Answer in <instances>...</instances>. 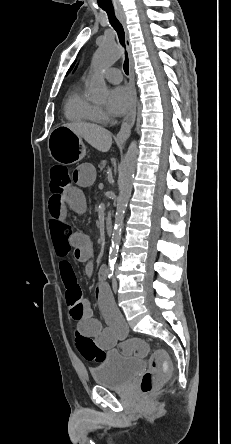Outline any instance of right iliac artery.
Returning <instances> with one entry per match:
<instances>
[{
	"instance_id": "right-iliac-artery-1",
	"label": "right iliac artery",
	"mask_w": 231,
	"mask_h": 444,
	"mask_svg": "<svg viewBox=\"0 0 231 444\" xmlns=\"http://www.w3.org/2000/svg\"><path fill=\"white\" fill-rule=\"evenodd\" d=\"M113 271H114L113 267L108 268V270H107V277L109 279L113 276Z\"/></svg>"
}]
</instances>
